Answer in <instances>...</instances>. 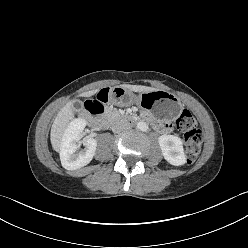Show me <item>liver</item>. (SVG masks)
I'll use <instances>...</instances> for the list:
<instances>
[{"label":"liver","instance_id":"1","mask_svg":"<svg viewBox=\"0 0 248 248\" xmlns=\"http://www.w3.org/2000/svg\"><path fill=\"white\" fill-rule=\"evenodd\" d=\"M122 87L129 89L134 92H152L155 91V88L142 86V85H122ZM98 90H91L82 94L83 97H91L96 94ZM73 101L68 102L57 114L50 133V140L52 147L55 151L60 152L61 141L64 135V132L69 125V122L74 117V112L72 110Z\"/></svg>","mask_w":248,"mask_h":248}]
</instances>
